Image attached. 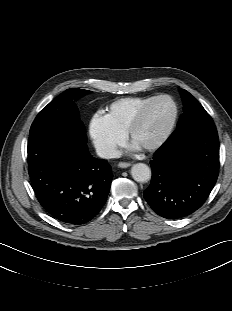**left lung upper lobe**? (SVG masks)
Listing matches in <instances>:
<instances>
[{"label": "left lung upper lobe", "mask_w": 232, "mask_h": 311, "mask_svg": "<svg viewBox=\"0 0 232 311\" xmlns=\"http://www.w3.org/2000/svg\"><path fill=\"white\" fill-rule=\"evenodd\" d=\"M181 96L184 104V113L180 117L177 125L182 124L185 121L194 120L196 118H201L209 116L202 105L186 90H180Z\"/></svg>", "instance_id": "obj_1"}]
</instances>
